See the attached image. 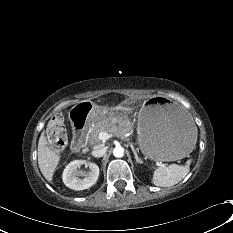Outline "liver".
Listing matches in <instances>:
<instances>
[{"label": "liver", "instance_id": "6515ba94", "mask_svg": "<svg viewBox=\"0 0 233 233\" xmlns=\"http://www.w3.org/2000/svg\"><path fill=\"white\" fill-rule=\"evenodd\" d=\"M117 111H130L126 107H116ZM60 153L53 150V147L48 146L44 133L40 136L38 143V165L41 173L47 181H52L53 174L60 161Z\"/></svg>", "mask_w": 233, "mask_h": 233}]
</instances>
